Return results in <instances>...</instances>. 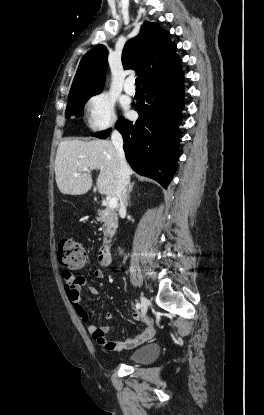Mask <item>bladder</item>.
<instances>
[{"label":"bladder","mask_w":264,"mask_h":415,"mask_svg":"<svg viewBox=\"0 0 264 415\" xmlns=\"http://www.w3.org/2000/svg\"><path fill=\"white\" fill-rule=\"evenodd\" d=\"M161 353V347L157 344H149L137 349L130 355L129 360L134 364H148L155 360Z\"/></svg>","instance_id":"1"}]
</instances>
